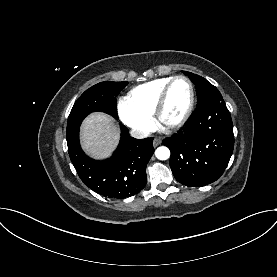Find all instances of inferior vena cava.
Here are the masks:
<instances>
[{
	"label": "inferior vena cava",
	"instance_id": "inferior-vena-cava-1",
	"mask_svg": "<svg viewBox=\"0 0 277 277\" xmlns=\"http://www.w3.org/2000/svg\"><path fill=\"white\" fill-rule=\"evenodd\" d=\"M130 134L137 139L147 138L150 135L149 131L144 129H132Z\"/></svg>",
	"mask_w": 277,
	"mask_h": 277
}]
</instances>
